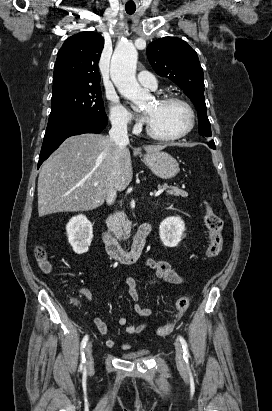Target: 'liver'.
I'll return each instance as SVG.
<instances>
[{
	"label": "liver",
	"instance_id": "liver-1",
	"mask_svg": "<svg viewBox=\"0 0 272 411\" xmlns=\"http://www.w3.org/2000/svg\"><path fill=\"white\" fill-rule=\"evenodd\" d=\"M164 146H146L148 153ZM118 152L117 166L114 156ZM114 186L123 191L133 177L130 151H118L110 137L81 134L67 138L43 164L38 177V214L93 210L106 197L111 174ZM95 184H97L95 186Z\"/></svg>",
	"mask_w": 272,
	"mask_h": 411
}]
</instances>
